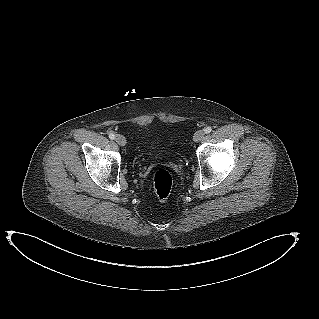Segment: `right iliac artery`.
Here are the masks:
<instances>
[{"instance_id":"obj_1","label":"right iliac artery","mask_w":319,"mask_h":319,"mask_svg":"<svg viewBox=\"0 0 319 319\" xmlns=\"http://www.w3.org/2000/svg\"><path fill=\"white\" fill-rule=\"evenodd\" d=\"M109 138H110L111 140H113V139H115V135H114L113 133H110V134H109Z\"/></svg>"}]
</instances>
